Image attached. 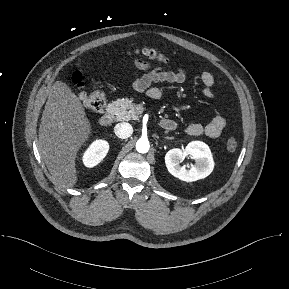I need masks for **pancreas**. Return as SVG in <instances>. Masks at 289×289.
Returning a JSON list of instances; mask_svg holds the SVG:
<instances>
[{
	"label": "pancreas",
	"instance_id": "obj_1",
	"mask_svg": "<svg viewBox=\"0 0 289 289\" xmlns=\"http://www.w3.org/2000/svg\"><path fill=\"white\" fill-rule=\"evenodd\" d=\"M111 113L117 121L137 120L138 114L135 111L136 105L130 99H117L110 104Z\"/></svg>",
	"mask_w": 289,
	"mask_h": 289
}]
</instances>
